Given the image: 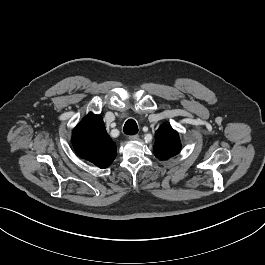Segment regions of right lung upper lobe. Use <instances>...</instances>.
I'll list each match as a JSON object with an SVG mask.
<instances>
[{
  "instance_id": "right-lung-upper-lobe-1",
  "label": "right lung upper lobe",
  "mask_w": 265,
  "mask_h": 265,
  "mask_svg": "<svg viewBox=\"0 0 265 265\" xmlns=\"http://www.w3.org/2000/svg\"><path fill=\"white\" fill-rule=\"evenodd\" d=\"M72 144L76 153L97 167L111 165L117 147L106 132L103 118L89 113L73 130Z\"/></svg>"
}]
</instances>
